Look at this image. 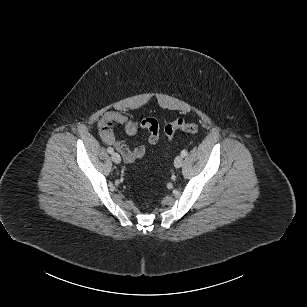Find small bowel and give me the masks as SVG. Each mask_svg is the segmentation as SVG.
<instances>
[{"label": "small bowel", "instance_id": "small-bowel-1", "mask_svg": "<svg viewBox=\"0 0 307 307\" xmlns=\"http://www.w3.org/2000/svg\"><path fill=\"white\" fill-rule=\"evenodd\" d=\"M116 125H122L129 136L135 135L139 129L147 130L150 145H155L159 140V125L155 119L144 118L137 122L129 114L123 112H106L98 122L99 135L105 144L114 146L127 163H132L142 158L146 153V148L143 145L130 148L124 141L118 140L113 132V127Z\"/></svg>", "mask_w": 307, "mask_h": 307}]
</instances>
